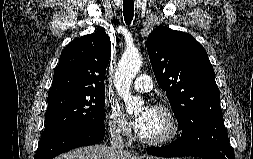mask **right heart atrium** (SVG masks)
Here are the masks:
<instances>
[{
	"label": "right heart atrium",
	"instance_id": "right-heart-atrium-1",
	"mask_svg": "<svg viewBox=\"0 0 253 159\" xmlns=\"http://www.w3.org/2000/svg\"><path fill=\"white\" fill-rule=\"evenodd\" d=\"M105 125L110 134L118 139L129 138L132 131V125L120 106L112 102L106 108Z\"/></svg>",
	"mask_w": 253,
	"mask_h": 159
}]
</instances>
